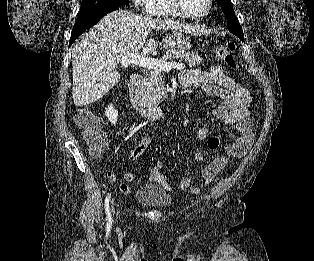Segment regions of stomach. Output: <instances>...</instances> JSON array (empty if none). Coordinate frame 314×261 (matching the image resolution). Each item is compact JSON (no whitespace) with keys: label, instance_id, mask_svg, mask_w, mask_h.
<instances>
[{"label":"stomach","instance_id":"stomach-1","mask_svg":"<svg viewBox=\"0 0 314 261\" xmlns=\"http://www.w3.org/2000/svg\"><path fill=\"white\" fill-rule=\"evenodd\" d=\"M166 48H175L181 51H189L191 44L188 38L178 31H173L165 38Z\"/></svg>","mask_w":314,"mask_h":261}]
</instances>
